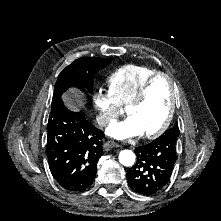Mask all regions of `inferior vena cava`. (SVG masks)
I'll list each match as a JSON object with an SVG mask.
<instances>
[{
	"label": "inferior vena cava",
	"mask_w": 221,
	"mask_h": 221,
	"mask_svg": "<svg viewBox=\"0 0 221 221\" xmlns=\"http://www.w3.org/2000/svg\"><path fill=\"white\" fill-rule=\"evenodd\" d=\"M97 122L100 126H106L111 122V118L107 116H99L97 117Z\"/></svg>",
	"instance_id": "602c4592"
}]
</instances>
